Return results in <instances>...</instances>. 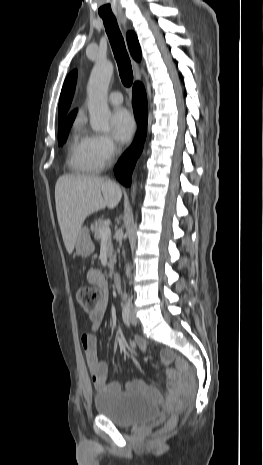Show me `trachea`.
<instances>
[{
    "label": "trachea",
    "mask_w": 263,
    "mask_h": 465,
    "mask_svg": "<svg viewBox=\"0 0 263 465\" xmlns=\"http://www.w3.org/2000/svg\"><path fill=\"white\" fill-rule=\"evenodd\" d=\"M101 17L118 65L121 81L124 86L130 87L133 83V71L117 20L114 16Z\"/></svg>",
    "instance_id": "trachea-1"
}]
</instances>
